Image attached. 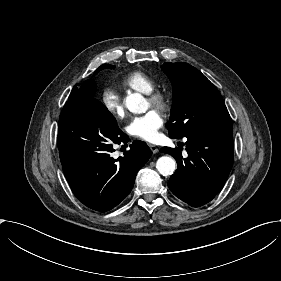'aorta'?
<instances>
[{
  "label": "aorta",
  "mask_w": 281,
  "mask_h": 281,
  "mask_svg": "<svg viewBox=\"0 0 281 281\" xmlns=\"http://www.w3.org/2000/svg\"><path fill=\"white\" fill-rule=\"evenodd\" d=\"M125 105L131 113H145L148 105L144 97L139 93H133L126 97ZM158 172L163 176L172 175L176 169V161L171 156H162L156 162Z\"/></svg>",
  "instance_id": "obj_1"
}]
</instances>
